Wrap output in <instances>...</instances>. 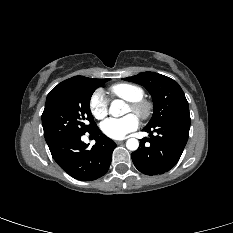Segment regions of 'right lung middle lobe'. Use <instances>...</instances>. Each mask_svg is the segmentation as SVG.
Segmentation results:
<instances>
[{
  "instance_id": "dd1d6c3e",
  "label": "right lung middle lobe",
  "mask_w": 233,
  "mask_h": 233,
  "mask_svg": "<svg viewBox=\"0 0 233 233\" xmlns=\"http://www.w3.org/2000/svg\"><path fill=\"white\" fill-rule=\"evenodd\" d=\"M109 79L82 80L55 87L47 96L42 125L48 145L68 136L81 135L96 126L90 111L93 92Z\"/></svg>"
}]
</instances>
